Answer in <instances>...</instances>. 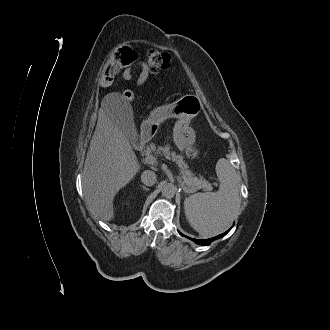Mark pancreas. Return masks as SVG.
I'll return each instance as SVG.
<instances>
[{"label":"pancreas","instance_id":"1","mask_svg":"<svg viewBox=\"0 0 330 330\" xmlns=\"http://www.w3.org/2000/svg\"><path fill=\"white\" fill-rule=\"evenodd\" d=\"M171 146L166 144L164 147H158L155 153L164 156L166 159H171L180 167V174L183 183L193 190H210L211 184L205 180L202 176L196 177L191 170L188 169V165L184 162L183 157L177 155L171 151Z\"/></svg>","mask_w":330,"mask_h":330}]
</instances>
